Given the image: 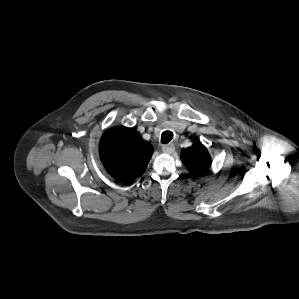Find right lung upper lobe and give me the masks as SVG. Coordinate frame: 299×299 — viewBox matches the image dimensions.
I'll use <instances>...</instances> for the list:
<instances>
[{
  "mask_svg": "<svg viewBox=\"0 0 299 299\" xmlns=\"http://www.w3.org/2000/svg\"><path fill=\"white\" fill-rule=\"evenodd\" d=\"M99 153L107 172L128 182L144 173L153 150L133 129L113 127L103 135Z\"/></svg>",
  "mask_w": 299,
  "mask_h": 299,
  "instance_id": "1",
  "label": "right lung upper lobe"
}]
</instances>
